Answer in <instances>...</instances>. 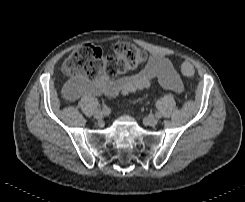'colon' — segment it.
Here are the masks:
<instances>
[{
	"label": "colon",
	"mask_w": 245,
	"mask_h": 202,
	"mask_svg": "<svg viewBox=\"0 0 245 202\" xmlns=\"http://www.w3.org/2000/svg\"><path fill=\"white\" fill-rule=\"evenodd\" d=\"M107 59L105 73L114 78L127 71L140 68L147 62V53L128 41L116 44L114 54L107 57L102 51L91 44H83L76 48L65 60L63 71L71 79L66 83L64 92L69 94L79 78H97L102 72V62ZM185 76L193 73V66L186 62L180 67Z\"/></svg>",
	"instance_id": "1"
}]
</instances>
